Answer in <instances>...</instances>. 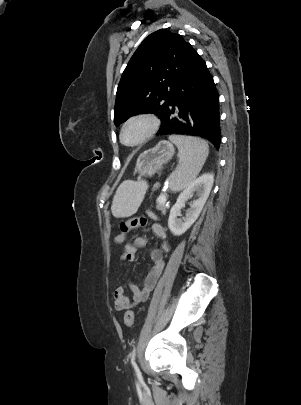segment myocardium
<instances>
[{"label": "myocardium", "mask_w": 301, "mask_h": 405, "mask_svg": "<svg viewBox=\"0 0 301 405\" xmlns=\"http://www.w3.org/2000/svg\"><path fill=\"white\" fill-rule=\"evenodd\" d=\"M136 122H141L145 124L146 126L145 132L138 141L132 144L126 143L123 139L124 132L128 126ZM159 127H160V120L155 114L149 112L134 114L130 116L127 120H125L121 126L119 133L120 142L127 147H138L147 142L149 139H151L158 131Z\"/></svg>", "instance_id": "obj_1"}]
</instances>
